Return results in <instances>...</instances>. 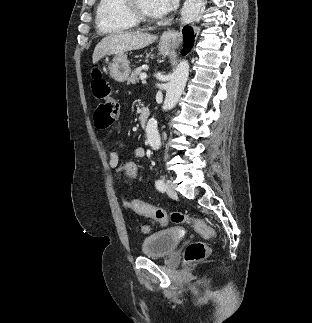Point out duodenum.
I'll use <instances>...</instances> for the list:
<instances>
[{
	"label": "duodenum",
	"mask_w": 312,
	"mask_h": 323,
	"mask_svg": "<svg viewBox=\"0 0 312 323\" xmlns=\"http://www.w3.org/2000/svg\"><path fill=\"white\" fill-rule=\"evenodd\" d=\"M149 117H150V110L148 107L143 108L139 112L138 120L141 128H145L147 126Z\"/></svg>",
	"instance_id": "obj_1"
}]
</instances>
